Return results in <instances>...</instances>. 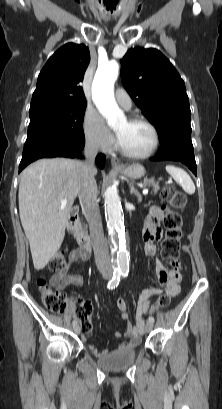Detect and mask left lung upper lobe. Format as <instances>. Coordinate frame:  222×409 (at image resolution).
Segmentation results:
<instances>
[{
  "label": "left lung upper lobe",
  "instance_id": "obj_1",
  "mask_svg": "<svg viewBox=\"0 0 222 409\" xmlns=\"http://www.w3.org/2000/svg\"><path fill=\"white\" fill-rule=\"evenodd\" d=\"M122 83L156 127L161 145L191 140V111L184 81L157 49H130L121 60Z\"/></svg>",
  "mask_w": 222,
  "mask_h": 409
}]
</instances>
